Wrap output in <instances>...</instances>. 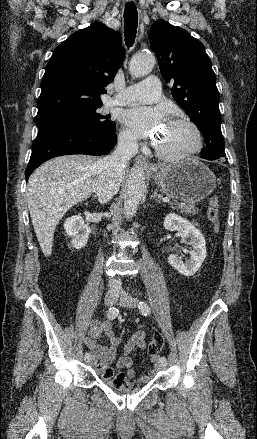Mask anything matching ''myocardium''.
Instances as JSON below:
<instances>
[{"label":"myocardium","mask_w":257,"mask_h":439,"mask_svg":"<svg viewBox=\"0 0 257 439\" xmlns=\"http://www.w3.org/2000/svg\"><path fill=\"white\" fill-rule=\"evenodd\" d=\"M168 124L185 125L189 127L193 132L195 145L193 148L187 151L178 152V153H171L164 151L158 145H155V152L158 157L166 161H181V160L190 159L201 152L203 148V137L200 129L194 122L186 118H176L170 120Z\"/></svg>","instance_id":"f54148a6"}]
</instances>
